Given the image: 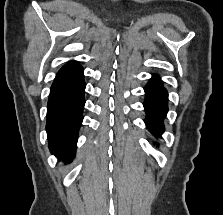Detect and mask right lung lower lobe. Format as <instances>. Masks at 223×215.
I'll return each mask as SVG.
<instances>
[{
    "label": "right lung lower lobe",
    "instance_id": "1",
    "mask_svg": "<svg viewBox=\"0 0 223 215\" xmlns=\"http://www.w3.org/2000/svg\"><path fill=\"white\" fill-rule=\"evenodd\" d=\"M85 82L83 69L54 80L47 106L49 149L58 159L70 162L75 155L78 131L83 120Z\"/></svg>",
    "mask_w": 223,
    "mask_h": 215
}]
</instances>
